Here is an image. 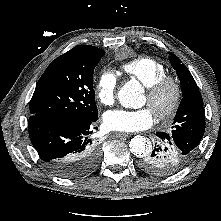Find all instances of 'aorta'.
Here are the masks:
<instances>
[{
  "label": "aorta",
  "instance_id": "1",
  "mask_svg": "<svg viewBox=\"0 0 221 221\" xmlns=\"http://www.w3.org/2000/svg\"><path fill=\"white\" fill-rule=\"evenodd\" d=\"M143 88L137 81L127 82L118 92L119 102L127 108H139L142 106ZM130 151L141 157L152 149L151 143L143 136H135L131 139Z\"/></svg>",
  "mask_w": 221,
  "mask_h": 221
}]
</instances>
